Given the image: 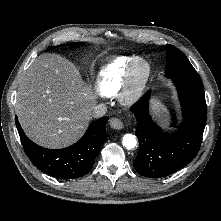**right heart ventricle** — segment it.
<instances>
[{"label":"right heart ventricle","instance_id":"1","mask_svg":"<svg viewBox=\"0 0 221 221\" xmlns=\"http://www.w3.org/2000/svg\"><path fill=\"white\" fill-rule=\"evenodd\" d=\"M134 58L119 56L103 67L97 79V90L102 96L113 97L120 91L127 67Z\"/></svg>","mask_w":221,"mask_h":221}]
</instances>
